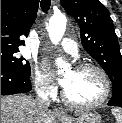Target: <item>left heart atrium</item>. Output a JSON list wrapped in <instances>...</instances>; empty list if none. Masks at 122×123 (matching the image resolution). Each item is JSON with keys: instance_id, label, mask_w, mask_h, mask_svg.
I'll return each instance as SVG.
<instances>
[{"instance_id": "obj_1", "label": "left heart atrium", "mask_w": 122, "mask_h": 123, "mask_svg": "<svg viewBox=\"0 0 122 123\" xmlns=\"http://www.w3.org/2000/svg\"><path fill=\"white\" fill-rule=\"evenodd\" d=\"M59 83L62 85V86H65L66 85V79L65 78H61L58 80Z\"/></svg>"}]
</instances>
